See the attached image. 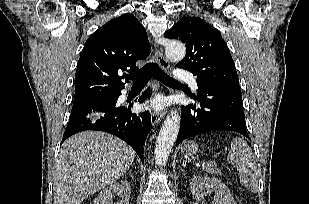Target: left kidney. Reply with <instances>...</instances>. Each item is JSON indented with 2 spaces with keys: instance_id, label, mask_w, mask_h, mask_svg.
I'll use <instances>...</instances> for the list:
<instances>
[{
  "instance_id": "5707ae66",
  "label": "left kidney",
  "mask_w": 309,
  "mask_h": 204,
  "mask_svg": "<svg viewBox=\"0 0 309 204\" xmlns=\"http://www.w3.org/2000/svg\"><path fill=\"white\" fill-rule=\"evenodd\" d=\"M191 193L196 200H203L206 191L215 192V204H236L228 187L215 177L194 176L190 183Z\"/></svg>"
}]
</instances>
